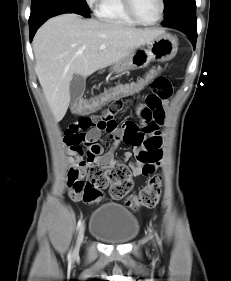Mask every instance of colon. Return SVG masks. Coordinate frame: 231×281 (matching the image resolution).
I'll return each instance as SVG.
<instances>
[{"mask_svg":"<svg viewBox=\"0 0 231 281\" xmlns=\"http://www.w3.org/2000/svg\"><path fill=\"white\" fill-rule=\"evenodd\" d=\"M161 68H155L134 80L118 83L105 92L89 99L80 101L75 106V112L88 113L113 101L122 100L142 92L159 76ZM109 186L110 194L115 199L123 198L132 189L133 182L130 170L124 165H117L106 169L103 167L91 168L85 182L75 181L73 193L85 203H95L102 199L103 190ZM162 192V178L154 175L147 186L138 195L127 198L126 205L131 209L139 207L153 208L157 205Z\"/></svg>","mask_w":231,"mask_h":281,"instance_id":"colon-1","label":"colon"}]
</instances>
